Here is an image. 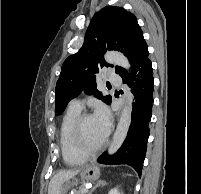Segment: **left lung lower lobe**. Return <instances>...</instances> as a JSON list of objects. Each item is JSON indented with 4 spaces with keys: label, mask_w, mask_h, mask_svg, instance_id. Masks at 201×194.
<instances>
[{
    "label": "left lung lower lobe",
    "mask_w": 201,
    "mask_h": 194,
    "mask_svg": "<svg viewBox=\"0 0 201 194\" xmlns=\"http://www.w3.org/2000/svg\"><path fill=\"white\" fill-rule=\"evenodd\" d=\"M131 65L133 66L130 73L132 80L129 81L127 72L121 75L124 83L129 84L134 94L132 120L127 137L117 153L112 156L104 153L98 162L108 165L127 164L141 176L149 137L148 126L152 115L154 89L152 65L144 39L140 42Z\"/></svg>",
    "instance_id": "0a47b994"
}]
</instances>
